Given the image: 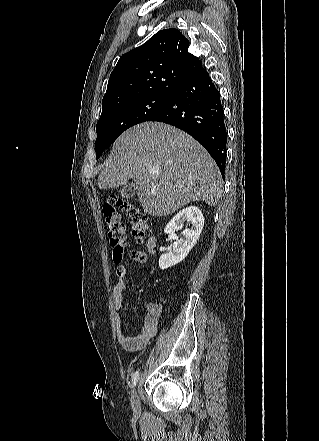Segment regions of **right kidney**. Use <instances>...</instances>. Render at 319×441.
I'll use <instances>...</instances> for the list:
<instances>
[{"instance_id": "ca27d5eb", "label": "right kidney", "mask_w": 319, "mask_h": 441, "mask_svg": "<svg viewBox=\"0 0 319 441\" xmlns=\"http://www.w3.org/2000/svg\"><path fill=\"white\" fill-rule=\"evenodd\" d=\"M184 223L190 224V228L183 231L184 239L173 243L169 253L162 254L159 258L160 269H167L183 261L190 250L195 246L204 226V217L201 210L196 206H189L179 211L167 224L165 234H173L182 229Z\"/></svg>"}]
</instances>
